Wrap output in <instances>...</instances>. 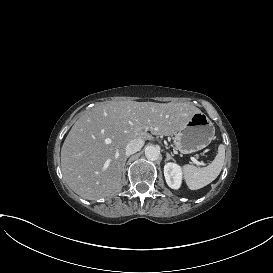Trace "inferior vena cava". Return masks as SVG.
<instances>
[{"label":"inferior vena cava","mask_w":273,"mask_h":273,"mask_svg":"<svg viewBox=\"0 0 273 273\" xmlns=\"http://www.w3.org/2000/svg\"><path fill=\"white\" fill-rule=\"evenodd\" d=\"M144 146V140L142 139H133L126 146V155H132L141 150Z\"/></svg>","instance_id":"inferior-vena-cava-1"}]
</instances>
